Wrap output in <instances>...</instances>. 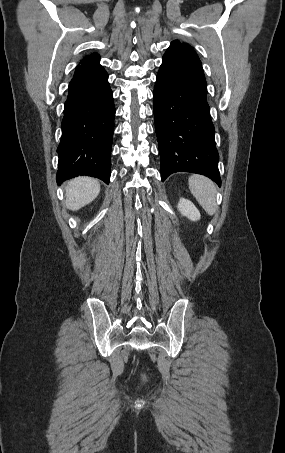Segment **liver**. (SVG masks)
I'll return each mask as SVG.
<instances>
[{"label": "liver", "instance_id": "1", "mask_svg": "<svg viewBox=\"0 0 285 453\" xmlns=\"http://www.w3.org/2000/svg\"><path fill=\"white\" fill-rule=\"evenodd\" d=\"M66 207L76 211L91 203L100 192L99 182L91 177L70 180L65 187Z\"/></svg>", "mask_w": 285, "mask_h": 453}]
</instances>
